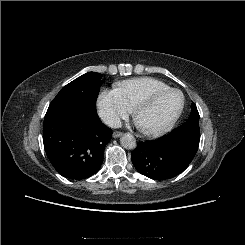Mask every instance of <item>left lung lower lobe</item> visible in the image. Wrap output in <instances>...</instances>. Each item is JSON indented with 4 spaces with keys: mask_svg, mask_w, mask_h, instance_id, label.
I'll list each match as a JSON object with an SVG mask.
<instances>
[{
    "mask_svg": "<svg viewBox=\"0 0 245 245\" xmlns=\"http://www.w3.org/2000/svg\"><path fill=\"white\" fill-rule=\"evenodd\" d=\"M200 137L179 133L148 142H140L131 153L139 173L154 180H166L183 172L193 160Z\"/></svg>",
    "mask_w": 245,
    "mask_h": 245,
    "instance_id": "1",
    "label": "left lung lower lobe"
}]
</instances>
